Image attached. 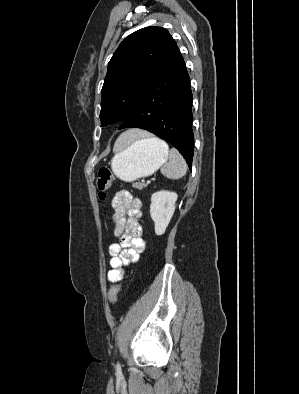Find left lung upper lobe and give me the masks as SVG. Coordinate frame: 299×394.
<instances>
[{"label": "left lung upper lobe", "instance_id": "5c2ea615", "mask_svg": "<svg viewBox=\"0 0 299 394\" xmlns=\"http://www.w3.org/2000/svg\"><path fill=\"white\" fill-rule=\"evenodd\" d=\"M180 55L164 28L146 27L126 37L108 64L101 95V126L125 121L148 87Z\"/></svg>", "mask_w": 299, "mask_h": 394}]
</instances>
